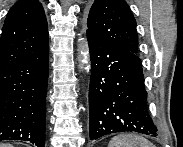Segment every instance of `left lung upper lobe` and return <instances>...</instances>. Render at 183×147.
<instances>
[{
	"instance_id": "obj_1",
	"label": "left lung upper lobe",
	"mask_w": 183,
	"mask_h": 147,
	"mask_svg": "<svg viewBox=\"0 0 183 147\" xmlns=\"http://www.w3.org/2000/svg\"><path fill=\"white\" fill-rule=\"evenodd\" d=\"M87 27V33L138 53L136 21L125 0H95Z\"/></svg>"
}]
</instances>
